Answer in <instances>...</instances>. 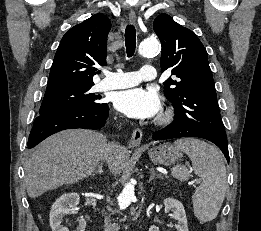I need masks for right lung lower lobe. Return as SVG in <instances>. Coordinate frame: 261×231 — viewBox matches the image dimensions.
Instances as JSON below:
<instances>
[{
  "instance_id": "1",
  "label": "right lung lower lobe",
  "mask_w": 261,
  "mask_h": 231,
  "mask_svg": "<svg viewBox=\"0 0 261 231\" xmlns=\"http://www.w3.org/2000/svg\"><path fill=\"white\" fill-rule=\"evenodd\" d=\"M108 115V105L103 103L99 107L67 109L38 116L34 121L27 146L33 148L48 136L65 129H98L104 126Z\"/></svg>"
}]
</instances>
